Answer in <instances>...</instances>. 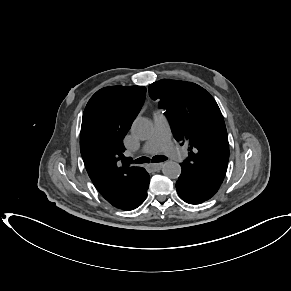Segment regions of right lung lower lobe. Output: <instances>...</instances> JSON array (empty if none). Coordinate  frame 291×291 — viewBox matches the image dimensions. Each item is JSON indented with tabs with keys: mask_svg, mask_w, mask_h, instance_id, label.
<instances>
[{
	"mask_svg": "<svg viewBox=\"0 0 291 291\" xmlns=\"http://www.w3.org/2000/svg\"><path fill=\"white\" fill-rule=\"evenodd\" d=\"M140 186L137 194L131 198L125 204H122L120 207H116L122 210H134L139 207L147 197V189L149 187V174L143 168L142 174L140 176ZM115 207V206H114Z\"/></svg>",
	"mask_w": 291,
	"mask_h": 291,
	"instance_id": "obj_1",
	"label": "right lung lower lobe"
}]
</instances>
